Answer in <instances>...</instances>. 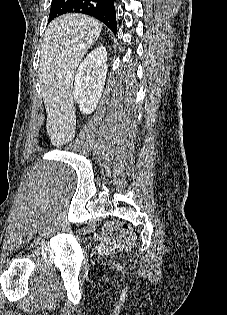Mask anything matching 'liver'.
Listing matches in <instances>:
<instances>
[{
	"mask_svg": "<svg viewBox=\"0 0 227 315\" xmlns=\"http://www.w3.org/2000/svg\"><path fill=\"white\" fill-rule=\"evenodd\" d=\"M101 31L102 23L98 20L69 13L53 20L45 32L39 77L47 134L53 146L67 144L75 136L73 81L79 63Z\"/></svg>",
	"mask_w": 227,
	"mask_h": 315,
	"instance_id": "obj_1",
	"label": "liver"
}]
</instances>
